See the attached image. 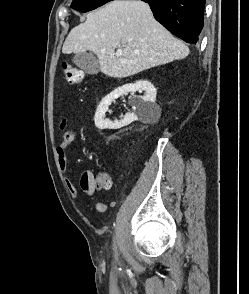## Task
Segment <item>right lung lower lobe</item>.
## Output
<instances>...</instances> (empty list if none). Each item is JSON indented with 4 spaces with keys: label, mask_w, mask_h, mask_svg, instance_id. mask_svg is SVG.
<instances>
[{
    "label": "right lung lower lobe",
    "mask_w": 249,
    "mask_h": 294,
    "mask_svg": "<svg viewBox=\"0 0 249 294\" xmlns=\"http://www.w3.org/2000/svg\"><path fill=\"white\" fill-rule=\"evenodd\" d=\"M155 19L177 37L195 44L204 24L206 0H142Z\"/></svg>",
    "instance_id": "1"
}]
</instances>
